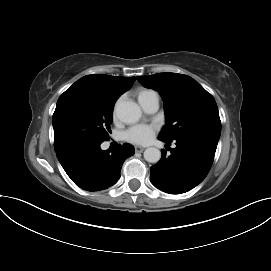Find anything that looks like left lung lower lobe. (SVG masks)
Wrapping results in <instances>:
<instances>
[{
  "label": "left lung lower lobe",
  "mask_w": 271,
  "mask_h": 271,
  "mask_svg": "<svg viewBox=\"0 0 271 271\" xmlns=\"http://www.w3.org/2000/svg\"><path fill=\"white\" fill-rule=\"evenodd\" d=\"M167 145L169 141L159 138ZM217 138L187 135L176 140V148L166 157L163 150L160 161L151 167L150 180L158 189L170 193H185L207 176L214 160Z\"/></svg>",
  "instance_id": "left-lung-lower-lobe-1"
}]
</instances>
